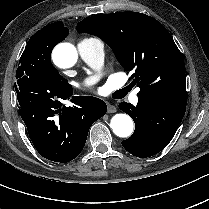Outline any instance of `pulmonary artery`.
Wrapping results in <instances>:
<instances>
[{
  "label": "pulmonary artery",
  "instance_id": "e3ab8cb5",
  "mask_svg": "<svg viewBox=\"0 0 209 209\" xmlns=\"http://www.w3.org/2000/svg\"><path fill=\"white\" fill-rule=\"evenodd\" d=\"M77 50L81 60L88 64L91 68L99 71L102 68L104 61V46L103 43L94 38H88L80 41L77 44ZM99 79V75L92 77L91 81ZM139 88H136L128 95V99L132 104H139Z\"/></svg>",
  "mask_w": 209,
  "mask_h": 209
}]
</instances>
